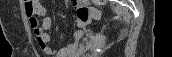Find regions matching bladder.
<instances>
[{"instance_id":"bladder-1","label":"bladder","mask_w":172,"mask_h":57,"mask_svg":"<svg viewBox=\"0 0 172 57\" xmlns=\"http://www.w3.org/2000/svg\"><path fill=\"white\" fill-rule=\"evenodd\" d=\"M73 57H90V55H88V54L85 52V53H78V54L74 55Z\"/></svg>"}]
</instances>
